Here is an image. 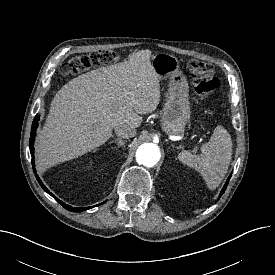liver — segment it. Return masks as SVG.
I'll use <instances>...</instances> for the list:
<instances>
[{
  "mask_svg": "<svg viewBox=\"0 0 275 275\" xmlns=\"http://www.w3.org/2000/svg\"><path fill=\"white\" fill-rule=\"evenodd\" d=\"M150 57L149 49L135 52L128 61L72 79L56 93L37 138L40 170L101 146L118 125L140 126V115L160 102V79Z\"/></svg>",
  "mask_w": 275,
  "mask_h": 275,
  "instance_id": "6515ba94",
  "label": "liver"
}]
</instances>
